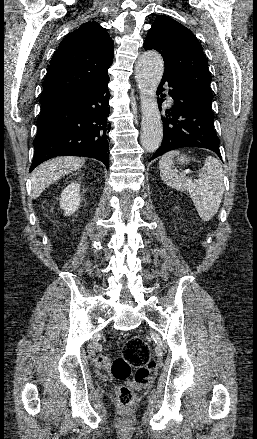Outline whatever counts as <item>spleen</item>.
<instances>
[{"label": "spleen", "instance_id": "1", "mask_svg": "<svg viewBox=\"0 0 257 439\" xmlns=\"http://www.w3.org/2000/svg\"><path fill=\"white\" fill-rule=\"evenodd\" d=\"M178 154L179 151H171L162 156L159 161L161 179L169 187L189 192L200 218L208 222L218 212L223 198L222 165L215 157L208 156L199 170L198 180L193 181L173 169V158Z\"/></svg>", "mask_w": 257, "mask_h": 439}]
</instances>
